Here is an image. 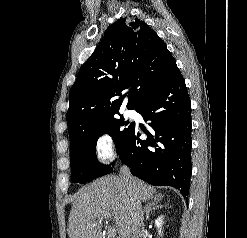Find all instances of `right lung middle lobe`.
Returning <instances> with one entry per match:
<instances>
[{"label":"right lung middle lobe","instance_id":"obj_1","mask_svg":"<svg viewBox=\"0 0 247 238\" xmlns=\"http://www.w3.org/2000/svg\"><path fill=\"white\" fill-rule=\"evenodd\" d=\"M123 128V126H127ZM133 123L121 118L113 117L103 123L88 129L71 146V175L72 182L86 183L106 175L112 171L110 166L102 167L96 159L95 146L99 136L108 133L116 145L117 154H120L130 133Z\"/></svg>","mask_w":247,"mask_h":238}]
</instances>
